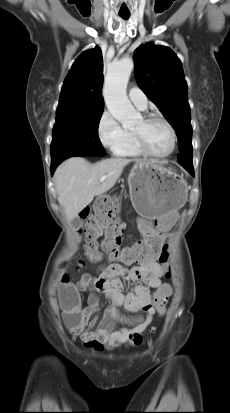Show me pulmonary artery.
Wrapping results in <instances>:
<instances>
[{"label": "pulmonary artery", "instance_id": "1", "mask_svg": "<svg viewBox=\"0 0 230 413\" xmlns=\"http://www.w3.org/2000/svg\"><path fill=\"white\" fill-rule=\"evenodd\" d=\"M128 96L132 103L140 110H144L147 107V97L145 93L138 87H132L129 89Z\"/></svg>", "mask_w": 230, "mask_h": 413}]
</instances>
